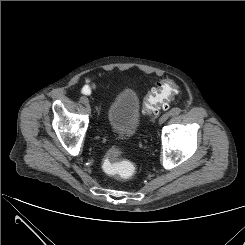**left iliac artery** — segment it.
Listing matches in <instances>:
<instances>
[{
	"label": "left iliac artery",
	"mask_w": 245,
	"mask_h": 245,
	"mask_svg": "<svg viewBox=\"0 0 245 245\" xmlns=\"http://www.w3.org/2000/svg\"><path fill=\"white\" fill-rule=\"evenodd\" d=\"M180 112H181V109L178 108V107H175V108H173V109L170 111V115H171V116H176V115L180 114Z\"/></svg>",
	"instance_id": "left-iliac-artery-1"
}]
</instances>
